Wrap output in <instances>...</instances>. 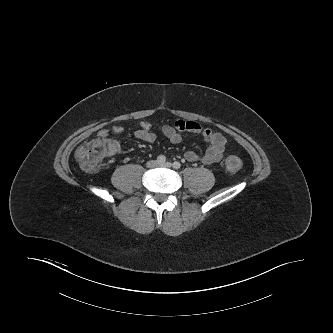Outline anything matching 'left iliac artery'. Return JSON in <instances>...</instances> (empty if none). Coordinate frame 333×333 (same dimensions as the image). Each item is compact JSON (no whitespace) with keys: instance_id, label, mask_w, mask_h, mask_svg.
Returning <instances> with one entry per match:
<instances>
[{"instance_id":"left-iliac-artery-1","label":"left iliac artery","mask_w":333,"mask_h":333,"mask_svg":"<svg viewBox=\"0 0 333 333\" xmlns=\"http://www.w3.org/2000/svg\"><path fill=\"white\" fill-rule=\"evenodd\" d=\"M180 167H181L180 162L175 161V162L173 163V168H174V169H180Z\"/></svg>"}]
</instances>
